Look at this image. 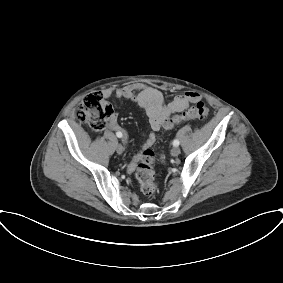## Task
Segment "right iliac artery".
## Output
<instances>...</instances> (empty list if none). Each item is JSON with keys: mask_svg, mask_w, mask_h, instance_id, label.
<instances>
[{"mask_svg": "<svg viewBox=\"0 0 283 283\" xmlns=\"http://www.w3.org/2000/svg\"><path fill=\"white\" fill-rule=\"evenodd\" d=\"M116 136H117L118 138H122L123 134H122L121 132H117V133H116Z\"/></svg>", "mask_w": 283, "mask_h": 283, "instance_id": "obj_1", "label": "right iliac artery"}]
</instances>
